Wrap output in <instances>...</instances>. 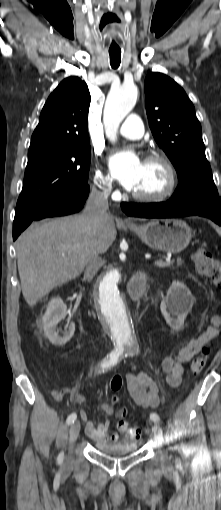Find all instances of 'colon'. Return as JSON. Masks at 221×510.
I'll use <instances>...</instances> for the list:
<instances>
[{"label":"colon","instance_id":"obj_1","mask_svg":"<svg viewBox=\"0 0 221 510\" xmlns=\"http://www.w3.org/2000/svg\"><path fill=\"white\" fill-rule=\"evenodd\" d=\"M193 262L197 268V270L213 285L221 290V265L214 260L204 249H198L193 254ZM208 350H203L201 354L196 356L190 365L191 374L194 376L199 375L207 360ZM123 384L122 378L120 375H114L110 381L111 390L117 392L121 389ZM127 415V410L125 408L120 409L117 412L118 418H120L124 424L123 418ZM119 421V422H120ZM118 422V423H119ZM130 436L132 438H139L141 436V430L139 428H130L126 426Z\"/></svg>","mask_w":221,"mask_h":510}]
</instances>
